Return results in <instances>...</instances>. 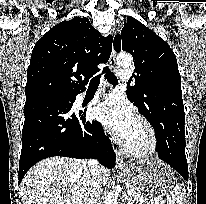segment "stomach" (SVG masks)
<instances>
[{"instance_id": "0dacf381", "label": "stomach", "mask_w": 206, "mask_h": 204, "mask_svg": "<svg viewBox=\"0 0 206 204\" xmlns=\"http://www.w3.org/2000/svg\"><path fill=\"white\" fill-rule=\"evenodd\" d=\"M123 173L130 189L142 198H161L172 188L175 180L172 169L160 160H140L130 162Z\"/></svg>"}]
</instances>
